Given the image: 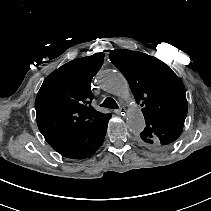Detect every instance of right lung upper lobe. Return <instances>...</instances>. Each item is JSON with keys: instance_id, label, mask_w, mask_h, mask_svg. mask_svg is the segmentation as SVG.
I'll list each match as a JSON object with an SVG mask.
<instances>
[{"instance_id": "obj_1", "label": "right lung upper lobe", "mask_w": 211, "mask_h": 211, "mask_svg": "<svg viewBox=\"0 0 211 211\" xmlns=\"http://www.w3.org/2000/svg\"><path fill=\"white\" fill-rule=\"evenodd\" d=\"M103 53L72 60L43 82L35 101L37 125L47 142L83 130L104 114L91 106V80Z\"/></svg>"}]
</instances>
